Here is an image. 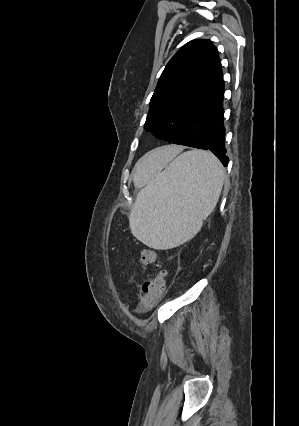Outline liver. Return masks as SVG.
Returning <instances> with one entry per match:
<instances>
[{
    "mask_svg": "<svg viewBox=\"0 0 299 426\" xmlns=\"http://www.w3.org/2000/svg\"><path fill=\"white\" fill-rule=\"evenodd\" d=\"M176 153L173 146H164L153 149L139 159L134 168V177H145L155 168L163 165Z\"/></svg>",
    "mask_w": 299,
    "mask_h": 426,
    "instance_id": "liver-1",
    "label": "liver"
}]
</instances>
